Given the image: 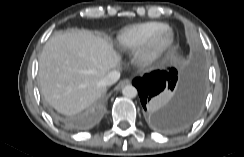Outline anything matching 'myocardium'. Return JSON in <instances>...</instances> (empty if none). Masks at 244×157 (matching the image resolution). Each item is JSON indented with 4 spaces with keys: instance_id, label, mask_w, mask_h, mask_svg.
<instances>
[{
    "instance_id": "1",
    "label": "myocardium",
    "mask_w": 244,
    "mask_h": 157,
    "mask_svg": "<svg viewBox=\"0 0 244 157\" xmlns=\"http://www.w3.org/2000/svg\"><path fill=\"white\" fill-rule=\"evenodd\" d=\"M172 39L170 31L166 27L156 31L148 40L146 46L137 54L140 63L151 61Z\"/></svg>"
}]
</instances>
